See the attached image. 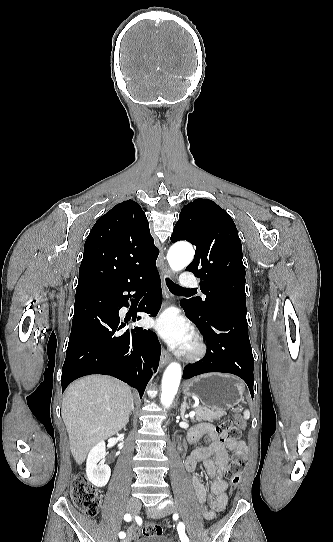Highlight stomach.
<instances>
[{
    "instance_id": "obj_1",
    "label": "stomach",
    "mask_w": 333,
    "mask_h": 542,
    "mask_svg": "<svg viewBox=\"0 0 333 542\" xmlns=\"http://www.w3.org/2000/svg\"><path fill=\"white\" fill-rule=\"evenodd\" d=\"M241 380L229 374H203L184 384V394L195 396L204 408L225 412L240 404L244 398Z\"/></svg>"
}]
</instances>
